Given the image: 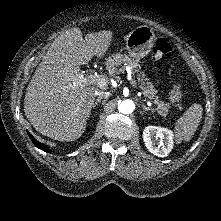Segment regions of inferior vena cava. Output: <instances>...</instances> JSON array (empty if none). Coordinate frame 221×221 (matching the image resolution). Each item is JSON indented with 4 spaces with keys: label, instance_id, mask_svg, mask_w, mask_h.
Wrapping results in <instances>:
<instances>
[{
    "label": "inferior vena cava",
    "instance_id": "inferior-vena-cava-1",
    "mask_svg": "<svg viewBox=\"0 0 221 221\" xmlns=\"http://www.w3.org/2000/svg\"><path fill=\"white\" fill-rule=\"evenodd\" d=\"M95 95L99 96L100 98H102L105 95V92L96 89L95 90Z\"/></svg>",
    "mask_w": 221,
    "mask_h": 221
}]
</instances>
